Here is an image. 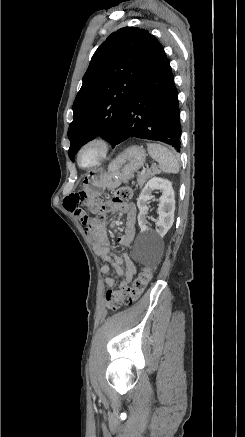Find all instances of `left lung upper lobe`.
Instances as JSON below:
<instances>
[{
  "instance_id": "left-lung-upper-lobe-1",
  "label": "left lung upper lobe",
  "mask_w": 245,
  "mask_h": 437,
  "mask_svg": "<svg viewBox=\"0 0 245 437\" xmlns=\"http://www.w3.org/2000/svg\"><path fill=\"white\" fill-rule=\"evenodd\" d=\"M159 45L148 31L125 27L98 47L73 103L68 130L72 161L79 148L98 135L114 146L126 103Z\"/></svg>"
}]
</instances>
